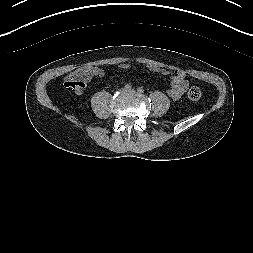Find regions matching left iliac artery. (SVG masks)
Returning a JSON list of instances; mask_svg holds the SVG:
<instances>
[{
  "label": "left iliac artery",
  "instance_id": "44dca946",
  "mask_svg": "<svg viewBox=\"0 0 253 253\" xmlns=\"http://www.w3.org/2000/svg\"><path fill=\"white\" fill-rule=\"evenodd\" d=\"M137 91H138L139 93H144V89H143L142 87H139V88L137 89Z\"/></svg>",
  "mask_w": 253,
  "mask_h": 253
}]
</instances>
